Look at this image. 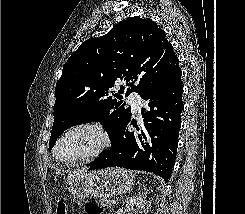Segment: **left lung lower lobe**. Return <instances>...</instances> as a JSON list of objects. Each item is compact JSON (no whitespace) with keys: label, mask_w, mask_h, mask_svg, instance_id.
Listing matches in <instances>:
<instances>
[{"label":"left lung lower lobe","mask_w":245,"mask_h":214,"mask_svg":"<svg viewBox=\"0 0 245 214\" xmlns=\"http://www.w3.org/2000/svg\"><path fill=\"white\" fill-rule=\"evenodd\" d=\"M179 63L151 90L141 95L148 109H142L143 128L129 132L127 124L121 129L111 149L100 154L89 170L123 167L153 172L166 182L170 179L178 146L183 86Z\"/></svg>","instance_id":"left-lung-lower-lobe-1"}]
</instances>
